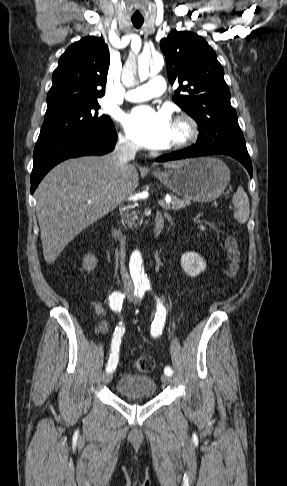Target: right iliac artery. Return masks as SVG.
Instances as JSON below:
<instances>
[{"label": "right iliac artery", "instance_id": "right-iliac-artery-1", "mask_svg": "<svg viewBox=\"0 0 287 486\" xmlns=\"http://www.w3.org/2000/svg\"><path fill=\"white\" fill-rule=\"evenodd\" d=\"M144 287H137L135 288L134 294L138 297H142L145 293ZM125 295L122 294L121 292L115 291L109 296V305L110 308L114 312H120L122 309V304L124 301ZM124 334V328L122 326H117L114 334H113V339H112V345H111V354L110 358L108 361V365L106 367V371L108 373L112 372L118 363V356H119V347L121 343V338Z\"/></svg>", "mask_w": 287, "mask_h": 486}]
</instances>
